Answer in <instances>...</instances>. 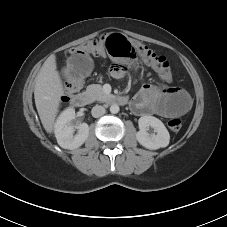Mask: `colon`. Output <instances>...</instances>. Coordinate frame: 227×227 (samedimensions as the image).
Returning <instances> with one entry per match:
<instances>
[{
	"mask_svg": "<svg viewBox=\"0 0 227 227\" xmlns=\"http://www.w3.org/2000/svg\"><path fill=\"white\" fill-rule=\"evenodd\" d=\"M106 51L115 63H122L126 59H132L136 56L154 69L164 81L172 80V71L168 60L161 55L156 54L144 43L126 37L119 33L105 34L98 38L90 39L80 45L74 46L67 51V62L77 53L100 54ZM65 79V78H64ZM82 83L74 84L65 79L63 90V99L76 94L82 87ZM168 127L177 132L182 127V120L173 117L168 121Z\"/></svg>",
	"mask_w": 227,
	"mask_h": 227,
	"instance_id": "5ec220e1",
	"label": "colon"
}]
</instances>
